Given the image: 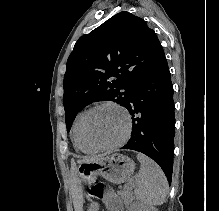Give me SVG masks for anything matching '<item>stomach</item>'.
<instances>
[{
    "label": "stomach",
    "mask_w": 219,
    "mask_h": 211,
    "mask_svg": "<svg viewBox=\"0 0 219 211\" xmlns=\"http://www.w3.org/2000/svg\"><path fill=\"white\" fill-rule=\"evenodd\" d=\"M135 169L134 161L119 153L103 156L95 161L79 163L77 174L82 181L93 184L98 176L103 177L111 183L121 184L129 179ZM88 211H94L90 208Z\"/></svg>",
    "instance_id": "stomach-1"
}]
</instances>
